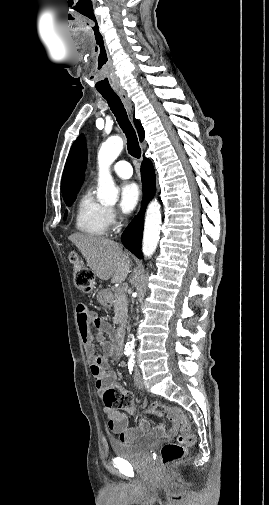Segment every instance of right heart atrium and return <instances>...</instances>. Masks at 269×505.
<instances>
[{"mask_svg": "<svg viewBox=\"0 0 269 505\" xmlns=\"http://www.w3.org/2000/svg\"><path fill=\"white\" fill-rule=\"evenodd\" d=\"M107 217L110 225H115L117 222V215L113 209H107Z\"/></svg>", "mask_w": 269, "mask_h": 505, "instance_id": "right-heart-atrium-1", "label": "right heart atrium"}]
</instances>
